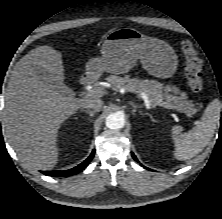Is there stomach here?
Returning a JSON list of instances; mask_svg holds the SVG:
<instances>
[{
  "label": "stomach",
  "mask_w": 222,
  "mask_h": 219,
  "mask_svg": "<svg viewBox=\"0 0 222 219\" xmlns=\"http://www.w3.org/2000/svg\"><path fill=\"white\" fill-rule=\"evenodd\" d=\"M101 57L86 64V76L98 78L103 72L123 74L131 70L138 60L151 75L171 77L178 65L174 49L165 41L146 36L134 28L111 31L105 38Z\"/></svg>",
  "instance_id": "0dacf381"
}]
</instances>
